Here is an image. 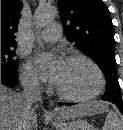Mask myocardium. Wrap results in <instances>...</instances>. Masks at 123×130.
I'll list each match as a JSON object with an SVG mask.
<instances>
[{
	"label": "myocardium",
	"instance_id": "1",
	"mask_svg": "<svg viewBox=\"0 0 123 130\" xmlns=\"http://www.w3.org/2000/svg\"><path fill=\"white\" fill-rule=\"evenodd\" d=\"M65 60L66 61L80 60V61H84L87 64H89L94 69V71L97 75V79H98L97 87L92 93H90L88 95L73 96V95H69V94L62 92L53 84L52 88H53L55 94L62 100H65L68 102H75V103L90 101V100L96 98L97 96H99L105 87V77H104V74H103L101 68L98 66V64L90 57L83 55V54H79V53L70 54L66 57Z\"/></svg>",
	"mask_w": 123,
	"mask_h": 130
}]
</instances>
